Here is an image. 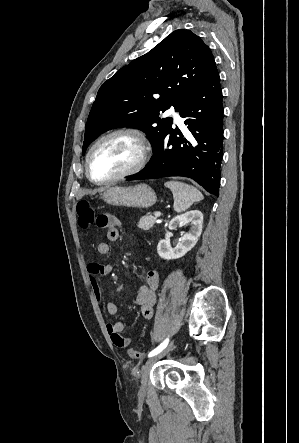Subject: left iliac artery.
Returning a JSON list of instances; mask_svg holds the SVG:
<instances>
[{
    "label": "left iliac artery",
    "mask_w": 299,
    "mask_h": 443,
    "mask_svg": "<svg viewBox=\"0 0 299 443\" xmlns=\"http://www.w3.org/2000/svg\"><path fill=\"white\" fill-rule=\"evenodd\" d=\"M169 342V338H166L158 347H156L155 349H153L149 354L148 357H152L154 355H157L158 353H160L162 350H164Z\"/></svg>",
    "instance_id": "1"
}]
</instances>
